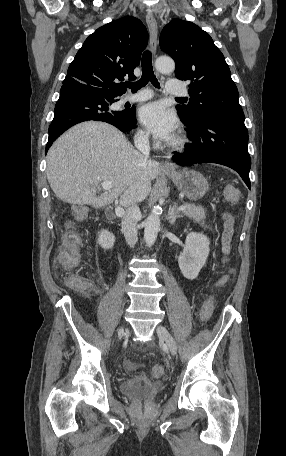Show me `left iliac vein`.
I'll return each instance as SVG.
<instances>
[{
  "label": "left iliac vein",
  "instance_id": "left-iliac-vein-1",
  "mask_svg": "<svg viewBox=\"0 0 286 456\" xmlns=\"http://www.w3.org/2000/svg\"><path fill=\"white\" fill-rule=\"evenodd\" d=\"M157 335L160 339H162L171 353V355H176L177 353V344L174 337L171 333L162 325H158L156 329Z\"/></svg>",
  "mask_w": 286,
  "mask_h": 456
}]
</instances>
